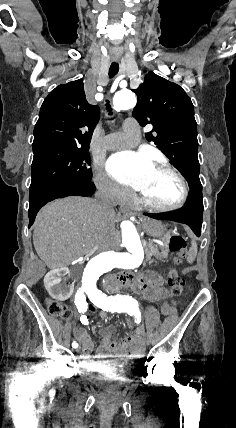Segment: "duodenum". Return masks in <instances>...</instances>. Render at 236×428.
Here are the masks:
<instances>
[{
    "label": "duodenum",
    "mask_w": 236,
    "mask_h": 428,
    "mask_svg": "<svg viewBox=\"0 0 236 428\" xmlns=\"http://www.w3.org/2000/svg\"><path fill=\"white\" fill-rule=\"evenodd\" d=\"M140 277L131 272L112 275L105 279L103 287L109 296L121 295L124 290L133 288Z\"/></svg>",
    "instance_id": "410a0bca"
}]
</instances>
